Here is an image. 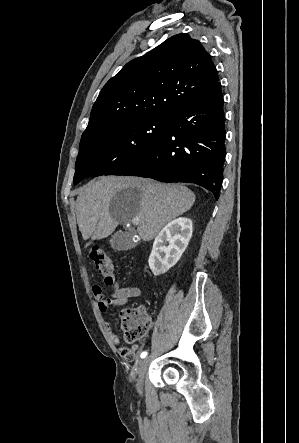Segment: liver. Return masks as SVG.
Masks as SVG:
<instances>
[{"instance_id":"1","label":"liver","mask_w":299,"mask_h":443,"mask_svg":"<svg viewBox=\"0 0 299 443\" xmlns=\"http://www.w3.org/2000/svg\"><path fill=\"white\" fill-rule=\"evenodd\" d=\"M195 194L177 184H162L151 179L103 176L81 188L76 200V217L84 240H100L119 224L139 218L137 232L151 241L170 221L187 212Z\"/></svg>"}]
</instances>
